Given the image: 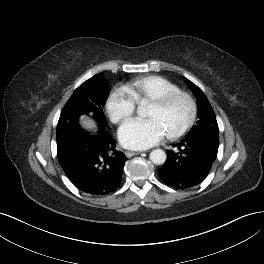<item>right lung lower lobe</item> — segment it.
<instances>
[{
	"mask_svg": "<svg viewBox=\"0 0 264 264\" xmlns=\"http://www.w3.org/2000/svg\"><path fill=\"white\" fill-rule=\"evenodd\" d=\"M58 161L71 182L81 191L104 195L118 188L124 164V153L116 149L114 138L99 122L95 134L77 126L62 133L57 140Z\"/></svg>",
	"mask_w": 264,
	"mask_h": 264,
	"instance_id": "98d812e1",
	"label": "right lung lower lobe"
}]
</instances>
